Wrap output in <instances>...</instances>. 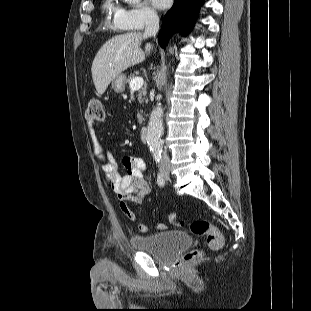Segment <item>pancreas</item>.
<instances>
[{
	"mask_svg": "<svg viewBox=\"0 0 311 311\" xmlns=\"http://www.w3.org/2000/svg\"><path fill=\"white\" fill-rule=\"evenodd\" d=\"M134 78V76H130V77H128L127 79H126V83H128L129 84V87H130V81L132 80ZM146 88H142L140 91H139V93H138V99H139V102L140 103H143L146 99H145V96H146ZM147 101V100H146ZM142 113H143V111H140L139 113H138V115H137V117H138V122H139V124H142V122H143V120H144V118H143V116H142Z\"/></svg>",
	"mask_w": 311,
	"mask_h": 311,
	"instance_id": "1",
	"label": "pancreas"
}]
</instances>
